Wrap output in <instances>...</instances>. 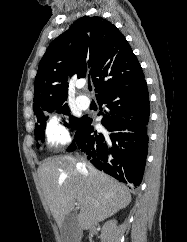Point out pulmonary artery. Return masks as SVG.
Masks as SVG:
<instances>
[{
  "instance_id": "obj_1",
  "label": "pulmonary artery",
  "mask_w": 187,
  "mask_h": 242,
  "mask_svg": "<svg viewBox=\"0 0 187 242\" xmlns=\"http://www.w3.org/2000/svg\"><path fill=\"white\" fill-rule=\"evenodd\" d=\"M77 104L82 109H87L90 106V100L86 96H79Z\"/></svg>"
}]
</instances>
